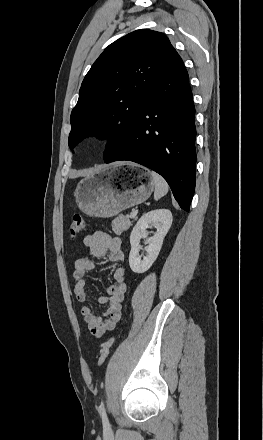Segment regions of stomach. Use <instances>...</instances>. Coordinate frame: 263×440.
<instances>
[{
    "mask_svg": "<svg viewBox=\"0 0 263 440\" xmlns=\"http://www.w3.org/2000/svg\"><path fill=\"white\" fill-rule=\"evenodd\" d=\"M128 171L110 166L83 178L74 193L79 209L109 218L146 201L155 186L151 172L136 165H130Z\"/></svg>",
    "mask_w": 263,
    "mask_h": 440,
    "instance_id": "stomach-1",
    "label": "stomach"
}]
</instances>
